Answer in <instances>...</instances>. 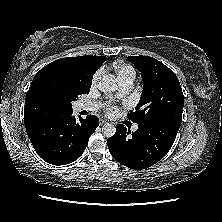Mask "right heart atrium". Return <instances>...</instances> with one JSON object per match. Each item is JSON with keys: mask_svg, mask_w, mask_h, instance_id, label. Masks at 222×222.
Listing matches in <instances>:
<instances>
[{"mask_svg": "<svg viewBox=\"0 0 222 222\" xmlns=\"http://www.w3.org/2000/svg\"><path fill=\"white\" fill-rule=\"evenodd\" d=\"M100 76H101L100 72L95 74V76L93 77V83L94 84L97 83V81L100 79Z\"/></svg>", "mask_w": 222, "mask_h": 222, "instance_id": "right-heart-atrium-1", "label": "right heart atrium"}]
</instances>
